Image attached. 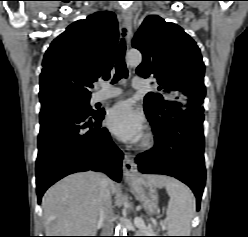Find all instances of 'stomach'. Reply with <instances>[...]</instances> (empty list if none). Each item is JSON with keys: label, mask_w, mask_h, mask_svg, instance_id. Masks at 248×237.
I'll return each mask as SVG.
<instances>
[{"label": "stomach", "mask_w": 248, "mask_h": 237, "mask_svg": "<svg viewBox=\"0 0 248 237\" xmlns=\"http://www.w3.org/2000/svg\"><path fill=\"white\" fill-rule=\"evenodd\" d=\"M130 185L135 197L144 209L150 214L156 213L159 200L157 186L144 176L130 182Z\"/></svg>", "instance_id": "stomach-1"}]
</instances>
